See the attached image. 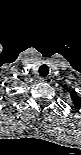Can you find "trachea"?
Returning a JSON list of instances; mask_svg holds the SVG:
<instances>
[{"instance_id": "3493384b", "label": "trachea", "mask_w": 81, "mask_h": 155, "mask_svg": "<svg viewBox=\"0 0 81 155\" xmlns=\"http://www.w3.org/2000/svg\"><path fill=\"white\" fill-rule=\"evenodd\" d=\"M49 73V67L45 64L41 65L40 68H39V74L41 76H44L46 77Z\"/></svg>"}]
</instances>
